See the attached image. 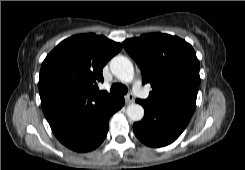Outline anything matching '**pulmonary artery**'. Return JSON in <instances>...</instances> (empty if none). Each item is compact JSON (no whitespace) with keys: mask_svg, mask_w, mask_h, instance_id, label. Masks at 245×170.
I'll return each instance as SVG.
<instances>
[{"mask_svg":"<svg viewBox=\"0 0 245 170\" xmlns=\"http://www.w3.org/2000/svg\"><path fill=\"white\" fill-rule=\"evenodd\" d=\"M133 90L136 93H138L139 95H141L142 97L144 96V94H143V88H142V86H141V84H140L139 81L134 82V84H133Z\"/></svg>","mask_w":245,"mask_h":170,"instance_id":"1","label":"pulmonary artery"}]
</instances>
